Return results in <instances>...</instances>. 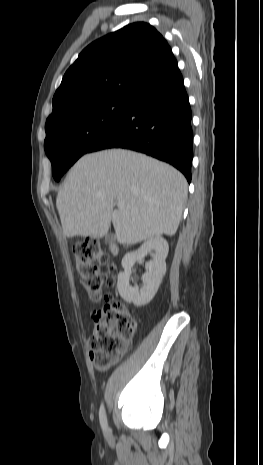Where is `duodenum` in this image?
I'll return each instance as SVG.
<instances>
[{
  "mask_svg": "<svg viewBox=\"0 0 263 465\" xmlns=\"http://www.w3.org/2000/svg\"><path fill=\"white\" fill-rule=\"evenodd\" d=\"M111 250H112V252H113L114 254L117 253V248H116L115 246H113V247L111 248Z\"/></svg>",
  "mask_w": 263,
  "mask_h": 465,
  "instance_id": "obj_1",
  "label": "duodenum"
}]
</instances>
